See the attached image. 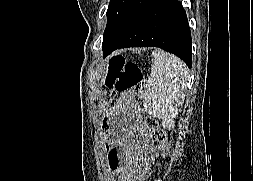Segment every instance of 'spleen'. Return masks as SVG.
<instances>
[{
  "mask_svg": "<svg viewBox=\"0 0 253 181\" xmlns=\"http://www.w3.org/2000/svg\"><path fill=\"white\" fill-rule=\"evenodd\" d=\"M187 79L188 69L179 58L155 49L151 74L143 93L145 111L159 119L174 118L184 101Z\"/></svg>",
  "mask_w": 253,
  "mask_h": 181,
  "instance_id": "3e777b00",
  "label": "spleen"
}]
</instances>
